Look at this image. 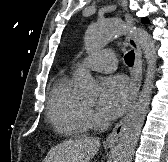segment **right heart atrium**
<instances>
[{
  "instance_id": "1",
  "label": "right heart atrium",
  "mask_w": 168,
  "mask_h": 162,
  "mask_svg": "<svg viewBox=\"0 0 168 162\" xmlns=\"http://www.w3.org/2000/svg\"><path fill=\"white\" fill-rule=\"evenodd\" d=\"M87 120H88V123L90 125H93L96 123L97 119H96V116L94 114V112L90 109H87Z\"/></svg>"
}]
</instances>
